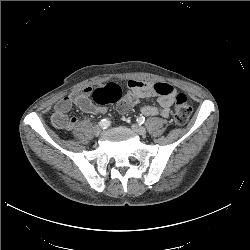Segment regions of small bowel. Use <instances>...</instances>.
Here are the masks:
<instances>
[{"label": "small bowel", "mask_w": 250, "mask_h": 250, "mask_svg": "<svg viewBox=\"0 0 250 250\" xmlns=\"http://www.w3.org/2000/svg\"><path fill=\"white\" fill-rule=\"evenodd\" d=\"M128 86L131 91L137 93L139 97L157 96L158 106L145 105L141 108V112L145 116L161 115L166 118L170 114L171 106L176 97V90L168 83L144 82L130 80ZM92 89L86 87L82 90L74 92L68 96L61 98L55 105L54 113L51 117L53 126L57 129L72 130L78 120L76 117H69L68 112L73 106L88 114L105 113V108L94 104L90 99Z\"/></svg>", "instance_id": "c3829d8e"}]
</instances>
